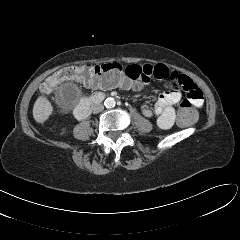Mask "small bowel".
Returning a JSON list of instances; mask_svg holds the SVG:
<instances>
[{
	"label": "small bowel",
	"instance_id": "small-bowel-1",
	"mask_svg": "<svg viewBox=\"0 0 240 240\" xmlns=\"http://www.w3.org/2000/svg\"><path fill=\"white\" fill-rule=\"evenodd\" d=\"M127 72L136 77L134 81L124 85L125 88L138 90L142 85L151 78L160 80L169 79L171 88L161 93L151 108L149 105L142 106V113L145 117L156 115V123L160 129H169L175 120V106L182 98V91L187 95L188 101L192 103L194 108H200L203 105V94L200 88L188 76L177 71H170L164 64H143L130 65ZM90 86V85H88ZM93 88H111L109 86H91Z\"/></svg>",
	"mask_w": 240,
	"mask_h": 240
}]
</instances>
